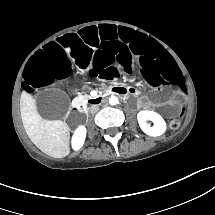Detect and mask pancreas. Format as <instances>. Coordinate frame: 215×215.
<instances>
[{"instance_id":"pancreas-1","label":"pancreas","mask_w":215,"mask_h":215,"mask_svg":"<svg viewBox=\"0 0 215 215\" xmlns=\"http://www.w3.org/2000/svg\"><path fill=\"white\" fill-rule=\"evenodd\" d=\"M91 98V96L90 95H84L83 96V99H84V102H86L88 99H90Z\"/></svg>"}]
</instances>
